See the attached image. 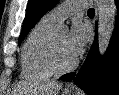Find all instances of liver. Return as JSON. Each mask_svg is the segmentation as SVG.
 I'll return each instance as SVG.
<instances>
[{"mask_svg":"<svg viewBox=\"0 0 119 95\" xmlns=\"http://www.w3.org/2000/svg\"><path fill=\"white\" fill-rule=\"evenodd\" d=\"M62 83L55 80L34 82L32 84L22 83L17 87L14 95H22L23 92L28 95H58Z\"/></svg>","mask_w":119,"mask_h":95,"instance_id":"liver-1","label":"liver"}]
</instances>
